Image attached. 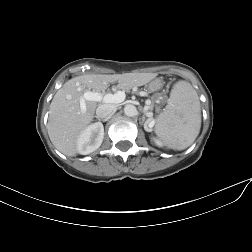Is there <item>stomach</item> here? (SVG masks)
<instances>
[{
	"label": "stomach",
	"instance_id": "stomach-1",
	"mask_svg": "<svg viewBox=\"0 0 252 252\" xmlns=\"http://www.w3.org/2000/svg\"><path fill=\"white\" fill-rule=\"evenodd\" d=\"M163 87V81L161 79H154L148 85L149 92H155L160 90Z\"/></svg>",
	"mask_w": 252,
	"mask_h": 252
}]
</instances>
